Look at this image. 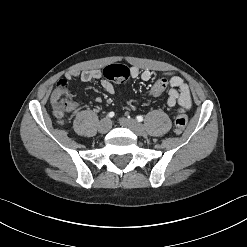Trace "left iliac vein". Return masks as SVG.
Listing matches in <instances>:
<instances>
[{
  "label": "left iliac vein",
  "instance_id": "1",
  "mask_svg": "<svg viewBox=\"0 0 247 247\" xmlns=\"http://www.w3.org/2000/svg\"><path fill=\"white\" fill-rule=\"evenodd\" d=\"M119 122L122 126L132 130L137 136H143L145 134V128L143 125L134 119L120 118Z\"/></svg>",
  "mask_w": 247,
  "mask_h": 247
}]
</instances>
